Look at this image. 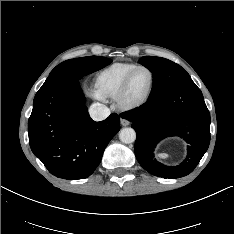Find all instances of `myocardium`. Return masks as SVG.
Instances as JSON below:
<instances>
[{
    "label": "myocardium",
    "instance_id": "f54148a6",
    "mask_svg": "<svg viewBox=\"0 0 234 234\" xmlns=\"http://www.w3.org/2000/svg\"><path fill=\"white\" fill-rule=\"evenodd\" d=\"M142 69L147 70L150 73V76H151L150 87H149L147 93L142 98L135 100V101H128L127 94L129 91L131 80H132L134 74L138 70H142ZM155 81H156L155 74L151 68L144 66V65H139V66L135 67L125 78V80H124V82H123V84H122V86H121V88H120V90L115 98L118 107L123 111H132V110L137 109L140 106H142L150 98V96L154 90Z\"/></svg>",
    "mask_w": 234,
    "mask_h": 234
}]
</instances>
